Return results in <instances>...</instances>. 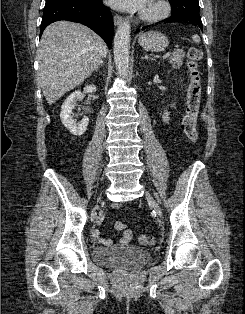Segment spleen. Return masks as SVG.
<instances>
[{"mask_svg":"<svg viewBox=\"0 0 245 314\" xmlns=\"http://www.w3.org/2000/svg\"><path fill=\"white\" fill-rule=\"evenodd\" d=\"M192 40L195 43H199L200 42V37L197 34L192 35Z\"/></svg>","mask_w":245,"mask_h":314,"instance_id":"3e777b00","label":"spleen"}]
</instances>
